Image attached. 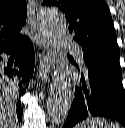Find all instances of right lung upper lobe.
Listing matches in <instances>:
<instances>
[{
  "label": "right lung upper lobe",
  "mask_w": 125,
  "mask_h": 128,
  "mask_svg": "<svg viewBox=\"0 0 125 128\" xmlns=\"http://www.w3.org/2000/svg\"><path fill=\"white\" fill-rule=\"evenodd\" d=\"M25 0H0V48L24 37L20 34L26 22Z\"/></svg>",
  "instance_id": "1"
}]
</instances>
